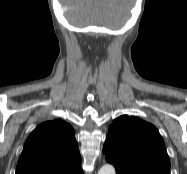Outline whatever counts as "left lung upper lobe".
<instances>
[{"mask_svg": "<svg viewBox=\"0 0 187 174\" xmlns=\"http://www.w3.org/2000/svg\"><path fill=\"white\" fill-rule=\"evenodd\" d=\"M116 174H170L164 140L150 123L122 115L109 127L103 148Z\"/></svg>", "mask_w": 187, "mask_h": 174, "instance_id": "1", "label": "left lung upper lobe"}]
</instances>
